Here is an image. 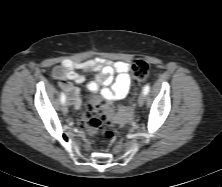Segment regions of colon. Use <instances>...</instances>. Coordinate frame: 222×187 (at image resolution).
Returning <instances> with one entry per match:
<instances>
[{
	"mask_svg": "<svg viewBox=\"0 0 222 187\" xmlns=\"http://www.w3.org/2000/svg\"><path fill=\"white\" fill-rule=\"evenodd\" d=\"M149 63L146 60H137L132 65V74L137 85H142L149 74ZM123 118L120 113H114L109 109V102L105 97H95L79 118V125L89 135H101L107 141H114L115 134L105 131L103 125L112 121L119 124Z\"/></svg>",
	"mask_w": 222,
	"mask_h": 187,
	"instance_id": "5ec220e1",
	"label": "colon"
}]
</instances>
